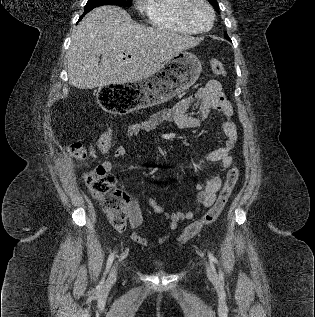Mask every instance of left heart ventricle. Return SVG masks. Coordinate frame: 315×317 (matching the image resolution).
Returning a JSON list of instances; mask_svg holds the SVG:
<instances>
[{"instance_id":"obj_1","label":"left heart ventricle","mask_w":315,"mask_h":317,"mask_svg":"<svg viewBox=\"0 0 315 317\" xmlns=\"http://www.w3.org/2000/svg\"><path fill=\"white\" fill-rule=\"evenodd\" d=\"M190 20L199 29L208 27L210 14L206 6L202 3H195L190 9Z\"/></svg>"}]
</instances>
